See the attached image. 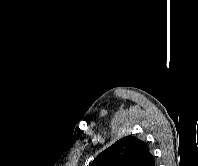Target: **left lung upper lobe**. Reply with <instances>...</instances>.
Listing matches in <instances>:
<instances>
[{
	"mask_svg": "<svg viewBox=\"0 0 198 166\" xmlns=\"http://www.w3.org/2000/svg\"><path fill=\"white\" fill-rule=\"evenodd\" d=\"M147 144L135 136H126L101 152L89 166H153Z\"/></svg>",
	"mask_w": 198,
	"mask_h": 166,
	"instance_id": "1",
	"label": "left lung upper lobe"
}]
</instances>
